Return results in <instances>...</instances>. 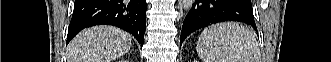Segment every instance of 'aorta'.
Returning a JSON list of instances; mask_svg holds the SVG:
<instances>
[{
	"mask_svg": "<svg viewBox=\"0 0 331 62\" xmlns=\"http://www.w3.org/2000/svg\"><path fill=\"white\" fill-rule=\"evenodd\" d=\"M195 0H182V6L184 10H190L194 4Z\"/></svg>",
	"mask_w": 331,
	"mask_h": 62,
	"instance_id": "762f6f07",
	"label": "aorta"
}]
</instances>
